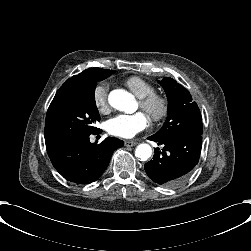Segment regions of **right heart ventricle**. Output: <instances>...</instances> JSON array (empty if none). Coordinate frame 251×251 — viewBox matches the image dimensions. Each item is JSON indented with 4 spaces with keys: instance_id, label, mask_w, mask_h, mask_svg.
Segmentation results:
<instances>
[{
    "instance_id": "obj_1",
    "label": "right heart ventricle",
    "mask_w": 251,
    "mask_h": 251,
    "mask_svg": "<svg viewBox=\"0 0 251 251\" xmlns=\"http://www.w3.org/2000/svg\"><path fill=\"white\" fill-rule=\"evenodd\" d=\"M124 83L138 97H142L155 92L154 86L149 81L138 75L128 76L124 80Z\"/></svg>"
}]
</instances>
